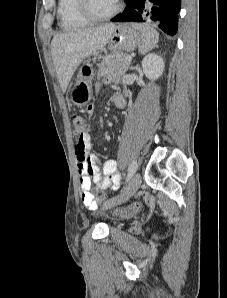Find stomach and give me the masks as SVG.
Here are the masks:
<instances>
[{
	"mask_svg": "<svg viewBox=\"0 0 227 298\" xmlns=\"http://www.w3.org/2000/svg\"><path fill=\"white\" fill-rule=\"evenodd\" d=\"M142 35L129 24H118L108 42V49L114 52H131L140 45ZM93 65L85 61L79 68L76 83L71 91V100L78 107L88 104L92 98Z\"/></svg>",
	"mask_w": 227,
	"mask_h": 298,
	"instance_id": "obj_1",
	"label": "stomach"
}]
</instances>
